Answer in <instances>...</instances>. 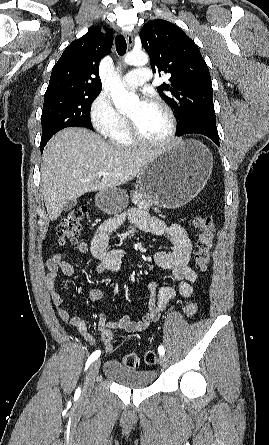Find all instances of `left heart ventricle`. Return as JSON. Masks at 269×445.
<instances>
[{"instance_id":"1","label":"left heart ventricle","mask_w":269,"mask_h":445,"mask_svg":"<svg viewBox=\"0 0 269 445\" xmlns=\"http://www.w3.org/2000/svg\"><path fill=\"white\" fill-rule=\"evenodd\" d=\"M140 133L152 140L163 138L169 131V119L164 110L154 103L137 102L129 111Z\"/></svg>"}]
</instances>
